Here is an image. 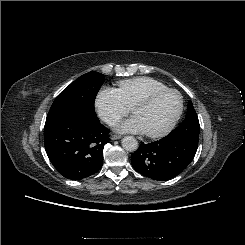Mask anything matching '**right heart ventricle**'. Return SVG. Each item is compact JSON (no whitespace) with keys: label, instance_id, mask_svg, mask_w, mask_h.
<instances>
[{"label":"right heart ventricle","instance_id":"obj_1","mask_svg":"<svg viewBox=\"0 0 245 245\" xmlns=\"http://www.w3.org/2000/svg\"><path fill=\"white\" fill-rule=\"evenodd\" d=\"M167 89V86L151 77H134L121 80L117 83V92L127 106L139 97L154 91Z\"/></svg>","mask_w":245,"mask_h":245}]
</instances>
